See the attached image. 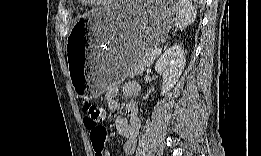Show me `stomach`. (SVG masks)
<instances>
[{
  "label": "stomach",
  "instance_id": "obj_1",
  "mask_svg": "<svg viewBox=\"0 0 261 156\" xmlns=\"http://www.w3.org/2000/svg\"><path fill=\"white\" fill-rule=\"evenodd\" d=\"M176 12L175 2H113L79 19L66 49L76 94L93 99L127 77L136 61L165 39ZM77 38L84 40L81 56L75 50Z\"/></svg>",
  "mask_w": 261,
  "mask_h": 156
}]
</instances>
